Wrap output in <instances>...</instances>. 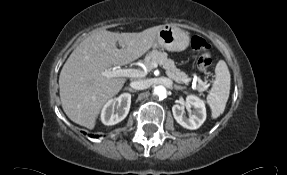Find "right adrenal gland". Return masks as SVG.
Listing matches in <instances>:
<instances>
[{
    "label": "right adrenal gland",
    "mask_w": 287,
    "mask_h": 175,
    "mask_svg": "<svg viewBox=\"0 0 287 175\" xmlns=\"http://www.w3.org/2000/svg\"><path fill=\"white\" fill-rule=\"evenodd\" d=\"M125 90H128V91H130V92H136L135 90H133L132 88H129V87H127V88H125Z\"/></svg>",
    "instance_id": "obj_1"
}]
</instances>
